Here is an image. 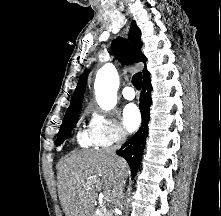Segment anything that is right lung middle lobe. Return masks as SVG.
I'll return each instance as SVG.
<instances>
[{"mask_svg": "<svg viewBox=\"0 0 221 216\" xmlns=\"http://www.w3.org/2000/svg\"><path fill=\"white\" fill-rule=\"evenodd\" d=\"M79 114L80 111L64 117L58 133L56 145H60L66 138L70 137L71 130L75 127L79 118Z\"/></svg>", "mask_w": 221, "mask_h": 216, "instance_id": "obj_1", "label": "right lung middle lobe"}]
</instances>
